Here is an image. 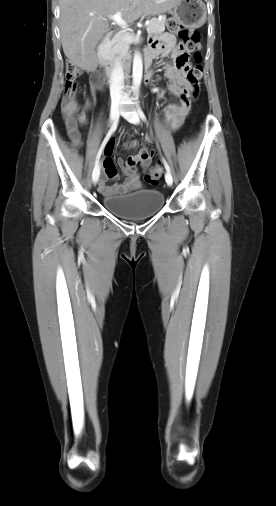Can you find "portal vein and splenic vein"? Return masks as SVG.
<instances>
[{
  "mask_svg": "<svg viewBox=\"0 0 276 506\" xmlns=\"http://www.w3.org/2000/svg\"><path fill=\"white\" fill-rule=\"evenodd\" d=\"M109 19L113 20L115 23H117L120 27H122L124 29L128 28L127 23L122 19L121 12H117L114 15L109 16ZM145 24H146V26H148L149 21H147Z\"/></svg>",
  "mask_w": 276,
  "mask_h": 506,
  "instance_id": "obj_1",
  "label": "portal vein and splenic vein"
}]
</instances>
